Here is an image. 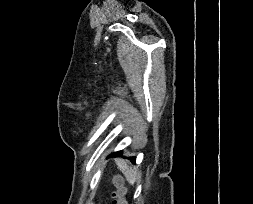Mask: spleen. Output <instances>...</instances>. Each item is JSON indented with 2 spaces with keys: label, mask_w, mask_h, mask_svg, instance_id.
Here are the masks:
<instances>
[{
  "label": "spleen",
  "mask_w": 253,
  "mask_h": 204,
  "mask_svg": "<svg viewBox=\"0 0 253 204\" xmlns=\"http://www.w3.org/2000/svg\"><path fill=\"white\" fill-rule=\"evenodd\" d=\"M116 164L118 165V168L120 171L125 175L127 181L134 185L136 180L140 177V173L132 167H129L124 161L116 159Z\"/></svg>",
  "instance_id": "3e777b00"
}]
</instances>
